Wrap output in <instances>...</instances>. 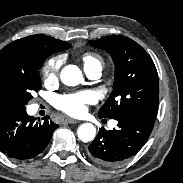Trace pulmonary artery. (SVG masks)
Instances as JSON below:
<instances>
[{"instance_id": "1", "label": "pulmonary artery", "mask_w": 183, "mask_h": 183, "mask_svg": "<svg viewBox=\"0 0 183 183\" xmlns=\"http://www.w3.org/2000/svg\"><path fill=\"white\" fill-rule=\"evenodd\" d=\"M86 74L91 79H98L101 76L102 67L95 66L93 68L85 69ZM114 125V124H113Z\"/></svg>"}]
</instances>
